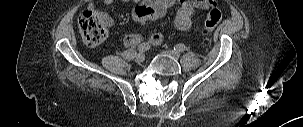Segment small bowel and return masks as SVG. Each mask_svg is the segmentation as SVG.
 <instances>
[{
    "mask_svg": "<svg viewBox=\"0 0 303 127\" xmlns=\"http://www.w3.org/2000/svg\"><path fill=\"white\" fill-rule=\"evenodd\" d=\"M116 0H102L104 5H111ZM123 3L132 1L135 4L133 18L141 24L148 21H155L163 18L169 9L175 4H180L174 18V24L179 30H188L192 26V17L196 9L210 8L216 5L215 0H119ZM89 9H94V4H88ZM101 17L107 24H111V19L107 14L102 13ZM163 40L161 33L154 32L148 36L140 33H130L126 35L122 44L132 47L140 43H147L152 46L160 45ZM115 45V44H113Z\"/></svg>",
    "mask_w": 303,
    "mask_h": 127,
    "instance_id": "1",
    "label": "small bowel"
}]
</instances>
